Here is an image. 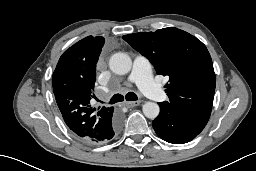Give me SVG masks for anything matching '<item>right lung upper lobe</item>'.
<instances>
[{
    "label": "right lung upper lobe",
    "mask_w": 256,
    "mask_h": 171,
    "mask_svg": "<svg viewBox=\"0 0 256 171\" xmlns=\"http://www.w3.org/2000/svg\"><path fill=\"white\" fill-rule=\"evenodd\" d=\"M101 36L86 38L67 49L52 77L53 91L67 126L82 140L96 139L114 115L113 107L91 105L96 63L104 45Z\"/></svg>",
    "instance_id": "1"
}]
</instances>
